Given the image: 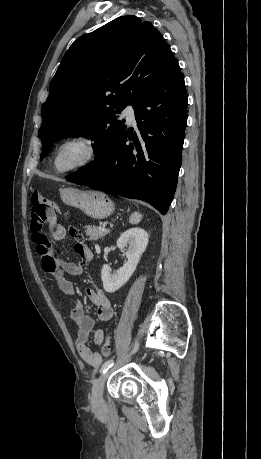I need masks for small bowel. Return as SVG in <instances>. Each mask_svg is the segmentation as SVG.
I'll list each match as a JSON object with an SVG mask.
<instances>
[{
  "label": "small bowel",
  "instance_id": "1",
  "mask_svg": "<svg viewBox=\"0 0 261 459\" xmlns=\"http://www.w3.org/2000/svg\"><path fill=\"white\" fill-rule=\"evenodd\" d=\"M32 223V222H31ZM50 237L45 234L44 238H35L32 234V240L36 245L37 252L41 258L42 269L55 276L57 284L62 293L66 295H76L73 283L67 278V275L77 276L83 272L84 266L93 259V252L84 243L82 234L75 228H69L57 224L56 219L48 225ZM71 229L77 231L80 236L72 234ZM67 235L74 240V251L80 256L79 262H68L59 258L52 241H63ZM90 302L96 307L97 317L101 322H108L113 317V308L106 294L101 289L88 288L84 291ZM69 318L78 326L75 345L79 356L87 364L98 367L102 362L101 355L92 350L89 345L90 336L93 335V341L96 345L102 344L105 333L102 329H95L94 319L87 313L82 300L75 298L72 309L69 312Z\"/></svg>",
  "mask_w": 261,
  "mask_h": 459
}]
</instances>
